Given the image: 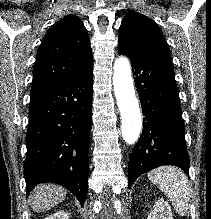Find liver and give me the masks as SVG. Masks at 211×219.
<instances>
[{"mask_svg": "<svg viewBox=\"0 0 211 219\" xmlns=\"http://www.w3.org/2000/svg\"><path fill=\"white\" fill-rule=\"evenodd\" d=\"M65 188L56 184H40L32 191L31 207L35 212L49 210L61 203L66 197Z\"/></svg>", "mask_w": 211, "mask_h": 219, "instance_id": "obj_1", "label": "liver"}]
</instances>
